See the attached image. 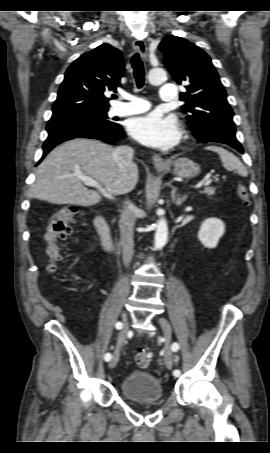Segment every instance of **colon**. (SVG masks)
Wrapping results in <instances>:
<instances>
[{
    "instance_id": "obj_1",
    "label": "colon",
    "mask_w": 270,
    "mask_h": 453,
    "mask_svg": "<svg viewBox=\"0 0 270 453\" xmlns=\"http://www.w3.org/2000/svg\"><path fill=\"white\" fill-rule=\"evenodd\" d=\"M237 194L244 205H249L250 195L245 185H238ZM77 213L78 207L76 205H67L62 207L50 219L44 235L46 254L49 260L47 270L50 273L56 272L58 265L63 261L62 242L70 235L71 225L75 223ZM135 361L140 368H146L152 362V354L146 350H141L137 352Z\"/></svg>"
}]
</instances>
